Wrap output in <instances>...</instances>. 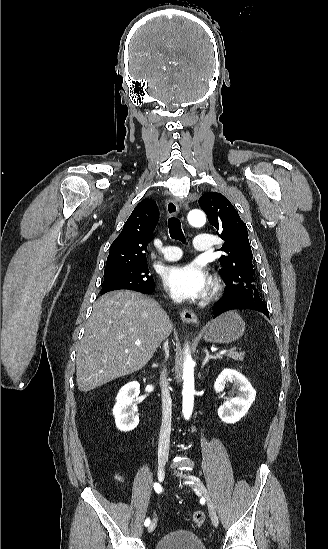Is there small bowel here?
I'll use <instances>...</instances> for the list:
<instances>
[{"instance_id":"obj_1","label":"small bowel","mask_w":328,"mask_h":549,"mask_svg":"<svg viewBox=\"0 0 328 549\" xmlns=\"http://www.w3.org/2000/svg\"><path fill=\"white\" fill-rule=\"evenodd\" d=\"M114 477L119 482H123L125 480V476L119 472H115Z\"/></svg>"}]
</instances>
